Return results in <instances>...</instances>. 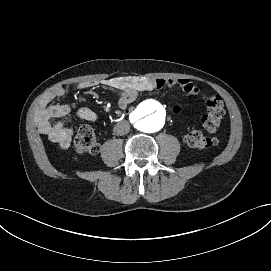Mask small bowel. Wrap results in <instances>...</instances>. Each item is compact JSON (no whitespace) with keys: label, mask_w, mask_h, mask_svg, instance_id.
Listing matches in <instances>:
<instances>
[{"label":"small bowel","mask_w":271,"mask_h":271,"mask_svg":"<svg viewBox=\"0 0 271 271\" xmlns=\"http://www.w3.org/2000/svg\"><path fill=\"white\" fill-rule=\"evenodd\" d=\"M98 85H103L120 91L118 104L121 108H127L140 92L152 91L163 87L177 86L188 96L198 95L199 87L189 79L176 78H144L135 76H120L106 79L100 82L87 81L77 85V90H85ZM65 90L61 86L49 89L39 101L36 108L34 121L38 130L46 135L51 141L58 143L62 148H68L74 131L64 126L65 120L75 114L77 117L95 122L98 115L87 107L74 108L70 104L59 102L53 103L55 99H61Z\"/></svg>","instance_id":"1"}]
</instances>
